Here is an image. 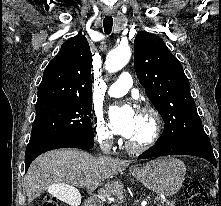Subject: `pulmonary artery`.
Masks as SVG:
<instances>
[{
    "mask_svg": "<svg viewBox=\"0 0 221 206\" xmlns=\"http://www.w3.org/2000/svg\"><path fill=\"white\" fill-rule=\"evenodd\" d=\"M133 85V79L130 73L123 72L120 74L119 79L113 83L108 89L110 97H121L125 95Z\"/></svg>",
    "mask_w": 221,
    "mask_h": 206,
    "instance_id": "pulmonary-artery-1",
    "label": "pulmonary artery"
}]
</instances>
